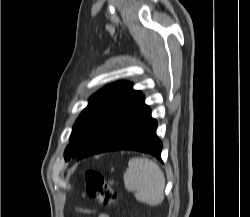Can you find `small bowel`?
Returning <instances> with one entry per match:
<instances>
[{
	"label": "small bowel",
	"instance_id": "1",
	"mask_svg": "<svg viewBox=\"0 0 250 217\" xmlns=\"http://www.w3.org/2000/svg\"><path fill=\"white\" fill-rule=\"evenodd\" d=\"M97 217H109V216L106 214H99Z\"/></svg>",
	"mask_w": 250,
	"mask_h": 217
}]
</instances>
